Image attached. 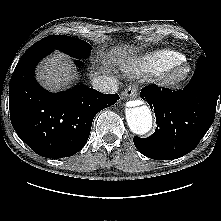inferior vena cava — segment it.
Here are the masks:
<instances>
[{
  "label": "inferior vena cava",
  "mask_w": 221,
  "mask_h": 221,
  "mask_svg": "<svg viewBox=\"0 0 221 221\" xmlns=\"http://www.w3.org/2000/svg\"><path fill=\"white\" fill-rule=\"evenodd\" d=\"M94 89L102 93H116L118 91V82L115 78L103 76H94L91 80Z\"/></svg>",
  "instance_id": "obj_1"
}]
</instances>
